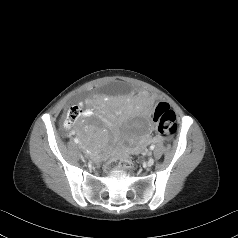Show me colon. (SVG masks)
Listing matches in <instances>:
<instances>
[{"label": "colon", "mask_w": 238, "mask_h": 238, "mask_svg": "<svg viewBox=\"0 0 238 238\" xmlns=\"http://www.w3.org/2000/svg\"><path fill=\"white\" fill-rule=\"evenodd\" d=\"M81 109L78 106H71L66 113L65 123L67 126L74 125L81 117ZM153 119L157 126L158 137L161 139L172 136L177 129L176 116L167 103L160 102L155 106ZM133 160L130 157H119L109 160L104 168L107 172H112L118 168L132 166Z\"/></svg>", "instance_id": "1"}]
</instances>
